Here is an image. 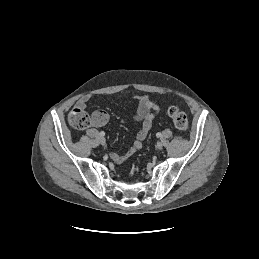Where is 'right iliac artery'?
Segmentation results:
<instances>
[{
	"instance_id": "obj_1",
	"label": "right iliac artery",
	"mask_w": 259,
	"mask_h": 259,
	"mask_svg": "<svg viewBox=\"0 0 259 259\" xmlns=\"http://www.w3.org/2000/svg\"><path fill=\"white\" fill-rule=\"evenodd\" d=\"M100 136H102V137L105 136V132L101 131Z\"/></svg>"
}]
</instances>
